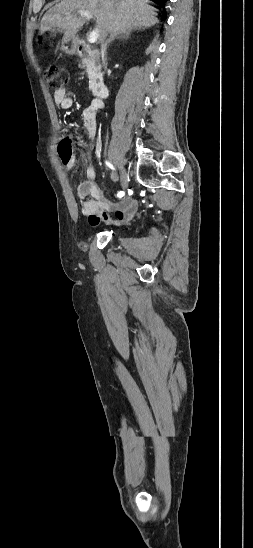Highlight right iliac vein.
<instances>
[{"instance_id":"obj_1","label":"right iliac vein","mask_w":253,"mask_h":548,"mask_svg":"<svg viewBox=\"0 0 253 548\" xmlns=\"http://www.w3.org/2000/svg\"><path fill=\"white\" fill-rule=\"evenodd\" d=\"M121 187L123 190H126L128 187V174L126 173L125 169L121 166Z\"/></svg>"}]
</instances>
